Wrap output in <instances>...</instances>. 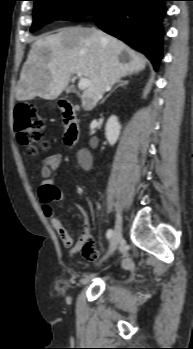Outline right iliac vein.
<instances>
[{
    "mask_svg": "<svg viewBox=\"0 0 193 349\" xmlns=\"http://www.w3.org/2000/svg\"><path fill=\"white\" fill-rule=\"evenodd\" d=\"M121 238H122V218H121V215H118L115 229H114V232L112 234V238L110 240L108 252L103 257L102 261L107 259L114 252V250L117 248Z\"/></svg>",
    "mask_w": 193,
    "mask_h": 349,
    "instance_id": "63e3f726",
    "label": "right iliac vein"
}]
</instances>
